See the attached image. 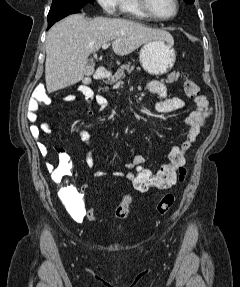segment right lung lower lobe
I'll return each instance as SVG.
<instances>
[{
  "instance_id": "right-lung-lower-lobe-1",
  "label": "right lung lower lobe",
  "mask_w": 240,
  "mask_h": 287,
  "mask_svg": "<svg viewBox=\"0 0 240 287\" xmlns=\"http://www.w3.org/2000/svg\"><path fill=\"white\" fill-rule=\"evenodd\" d=\"M80 10H75L73 12H69V13H64V14H60L57 16L52 17L51 19L48 20V28H50L55 22L59 21L60 19L68 16L69 14H73V13H79Z\"/></svg>"
}]
</instances>
